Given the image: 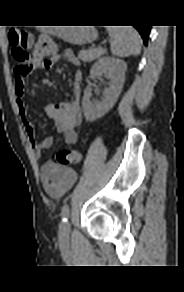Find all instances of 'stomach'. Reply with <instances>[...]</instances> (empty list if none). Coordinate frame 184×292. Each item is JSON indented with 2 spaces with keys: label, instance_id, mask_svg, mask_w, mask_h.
<instances>
[{
  "label": "stomach",
  "instance_id": "obj_1",
  "mask_svg": "<svg viewBox=\"0 0 184 292\" xmlns=\"http://www.w3.org/2000/svg\"><path fill=\"white\" fill-rule=\"evenodd\" d=\"M55 30L60 39L78 45L92 42L98 37L96 30L90 27L60 26Z\"/></svg>",
  "mask_w": 184,
  "mask_h": 292
}]
</instances>
